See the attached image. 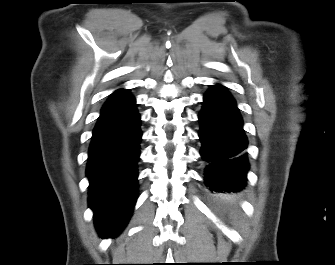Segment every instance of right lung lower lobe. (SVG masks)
I'll list each match as a JSON object with an SVG mask.
<instances>
[{
    "label": "right lung lower lobe",
    "instance_id": "98d812e1",
    "mask_svg": "<svg viewBox=\"0 0 335 265\" xmlns=\"http://www.w3.org/2000/svg\"><path fill=\"white\" fill-rule=\"evenodd\" d=\"M141 136L134 97L114 92L93 130L87 164L89 206L103 238L122 231L135 205Z\"/></svg>",
    "mask_w": 335,
    "mask_h": 265
}]
</instances>
